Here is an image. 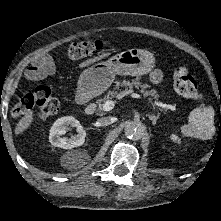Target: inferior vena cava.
<instances>
[{
    "label": "inferior vena cava",
    "mask_w": 221,
    "mask_h": 221,
    "mask_svg": "<svg viewBox=\"0 0 221 221\" xmlns=\"http://www.w3.org/2000/svg\"><path fill=\"white\" fill-rule=\"evenodd\" d=\"M98 122L101 126H108L113 123V120L111 117H102L98 119Z\"/></svg>",
    "instance_id": "602c4592"
}]
</instances>
